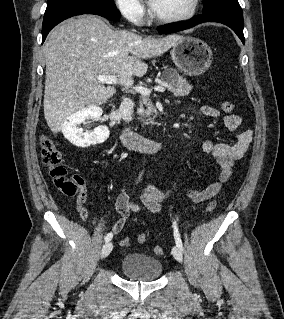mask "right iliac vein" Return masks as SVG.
I'll return each mask as SVG.
<instances>
[{
    "label": "right iliac vein",
    "instance_id": "63e3f726",
    "mask_svg": "<svg viewBox=\"0 0 284 319\" xmlns=\"http://www.w3.org/2000/svg\"><path fill=\"white\" fill-rule=\"evenodd\" d=\"M112 249H113L112 242H107L105 245H103L101 253H100L101 259L107 257L111 253Z\"/></svg>",
    "mask_w": 284,
    "mask_h": 319
}]
</instances>
